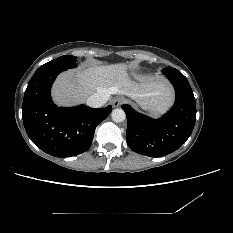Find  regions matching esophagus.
<instances>
[{
    "instance_id": "1",
    "label": "esophagus",
    "mask_w": 233,
    "mask_h": 233,
    "mask_svg": "<svg viewBox=\"0 0 233 233\" xmlns=\"http://www.w3.org/2000/svg\"><path fill=\"white\" fill-rule=\"evenodd\" d=\"M123 103H124V100H123L122 98H120V97H117V98H115V99L113 100L112 106H113L114 108H117V107L121 106Z\"/></svg>"
}]
</instances>
